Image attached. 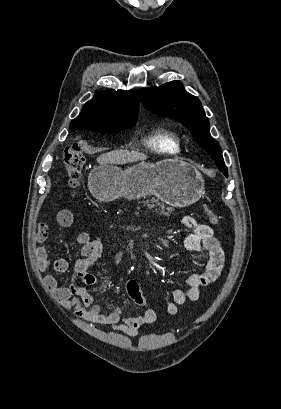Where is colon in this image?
Wrapping results in <instances>:
<instances>
[{
    "instance_id": "colon-1",
    "label": "colon",
    "mask_w": 281,
    "mask_h": 409,
    "mask_svg": "<svg viewBox=\"0 0 281 409\" xmlns=\"http://www.w3.org/2000/svg\"><path fill=\"white\" fill-rule=\"evenodd\" d=\"M63 165L68 184L70 186H76L79 173L85 165V158L78 145H72L65 150ZM206 212L210 222L218 224V214L209 207L206 208Z\"/></svg>"
}]
</instances>
